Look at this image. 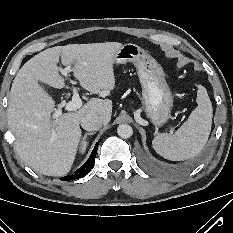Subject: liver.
<instances>
[{
  "label": "liver",
  "mask_w": 233,
  "mask_h": 233,
  "mask_svg": "<svg viewBox=\"0 0 233 233\" xmlns=\"http://www.w3.org/2000/svg\"><path fill=\"white\" fill-rule=\"evenodd\" d=\"M119 42L69 44L48 48L28 60L16 74L8 103V126L15 136V149L34 171L48 176L66 175L75 160L81 138L80 122L97 115L107 125L112 116L110 99L91 98L74 112L54 118L55 101L38 82L64 87L59 59L72 67L82 88L106 94L115 87L114 57Z\"/></svg>",
  "instance_id": "1"
}]
</instances>
